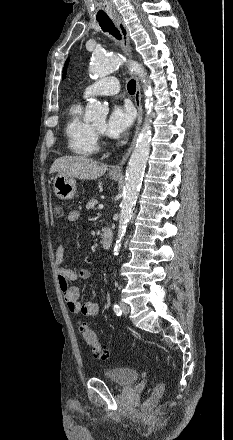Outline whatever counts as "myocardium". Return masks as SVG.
Wrapping results in <instances>:
<instances>
[{
	"mask_svg": "<svg viewBox=\"0 0 233 440\" xmlns=\"http://www.w3.org/2000/svg\"><path fill=\"white\" fill-rule=\"evenodd\" d=\"M92 129L95 133V135L98 137H103L104 136V131L98 129L97 127H95L94 125H92Z\"/></svg>",
	"mask_w": 233,
	"mask_h": 440,
	"instance_id": "f54148a6",
	"label": "myocardium"
}]
</instances>
